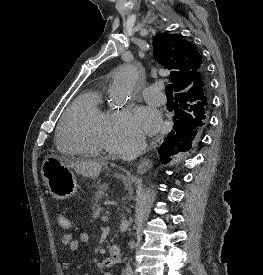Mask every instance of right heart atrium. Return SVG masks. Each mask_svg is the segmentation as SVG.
Returning a JSON list of instances; mask_svg holds the SVG:
<instances>
[{
	"label": "right heart atrium",
	"mask_w": 263,
	"mask_h": 275,
	"mask_svg": "<svg viewBox=\"0 0 263 275\" xmlns=\"http://www.w3.org/2000/svg\"><path fill=\"white\" fill-rule=\"evenodd\" d=\"M130 119L126 110L110 113L105 136L106 148L110 152L120 153L142 144L143 136L132 128Z\"/></svg>",
	"instance_id": "d8ad5b80"
}]
</instances>
